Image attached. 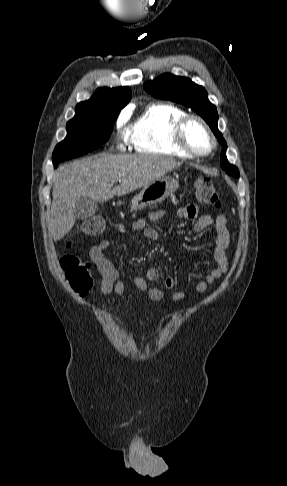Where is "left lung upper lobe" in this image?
Listing matches in <instances>:
<instances>
[{
  "label": "left lung upper lobe",
  "mask_w": 287,
  "mask_h": 486,
  "mask_svg": "<svg viewBox=\"0 0 287 486\" xmlns=\"http://www.w3.org/2000/svg\"><path fill=\"white\" fill-rule=\"evenodd\" d=\"M144 89L156 98L171 100L193 109L210 126L213 133L222 145L221 167L227 174L239 177L236 166L231 165L226 157L227 144L218 130V113L216 107L208 100L206 90L189 78L163 74L153 81H148L143 85Z\"/></svg>",
  "instance_id": "1"
}]
</instances>
